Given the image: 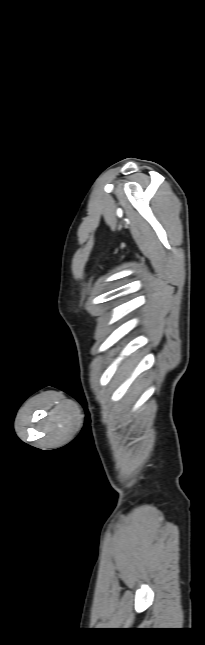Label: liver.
Wrapping results in <instances>:
<instances>
[{
	"instance_id": "liver-1",
	"label": "liver",
	"mask_w": 205,
	"mask_h": 645,
	"mask_svg": "<svg viewBox=\"0 0 205 645\" xmlns=\"http://www.w3.org/2000/svg\"><path fill=\"white\" fill-rule=\"evenodd\" d=\"M133 367V360H127L123 366L121 367L119 372H125V374H129L131 369Z\"/></svg>"
}]
</instances>
